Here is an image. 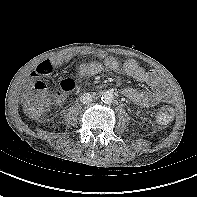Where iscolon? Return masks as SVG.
I'll use <instances>...</instances> for the list:
<instances>
[{"label":"colon","mask_w":197,"mask_h":197,"mask_svg":"<svg viewBox=\"0 0 197 197\" xmlns=\"http://www.w3.org/2000/svg\"><path fill=\"white\" fill-rule=\"evenodd\" d=\"M75 83L72 79H64L60 82L58 95L62 96L73 91ZM47 85L43 81H37L32 89L23 98V108L31 117H38L42 114L47 102ZM173 118V109L163 106L159 109L157 120L161 124H168Z\"/></svg>","instance_id":"colon-1"}]
</instances>
